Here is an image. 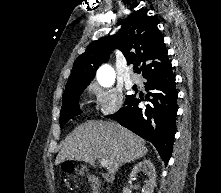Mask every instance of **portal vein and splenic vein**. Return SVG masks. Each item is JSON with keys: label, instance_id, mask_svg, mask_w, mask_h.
<instances>
[{"label": "portal vein and splenic vein", "instance_id": "portal-vein-and-splenic-vein-1", "mask_svg": "<svg viewBox=\"0 0 221 193\" xmlns=\"http://www.w3.org/2000/svg\"><path fill=\"white\" fill-rule=\"evenodd\" d=\"M100 164H101L103 167H108V161L105 160V159L100 160Z\"/></svg>", "mask_w": 221, "mask_h": 193}]
</instances>
